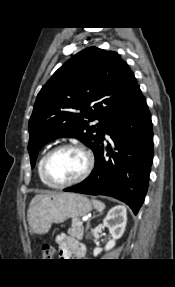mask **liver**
<instances>
[{
  "mask_svg": "<svg viewBox=\"0 0 175 287\" xmlns=\"http://www.w3.org/2000/svg\"><path fill=\"white\" fill-rule=\"evenodd\" d=\"M50 195H53V194H38V195H35L33 197V199L31 200L30 202V205H29V209L35 205L36 203H38L40 200H42L43 198L47 197V196H50Z\"/></svg>",
  "mask_w": 175,
  "mask_h": 287,
  "instance_id": "1",
  "label": "liver"
}]
</instances>
